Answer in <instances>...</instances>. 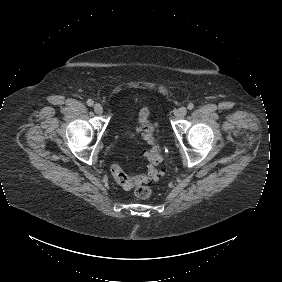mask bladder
Segmentation results:
<instances>
[{"instance_id":"obj_1","label":"bladder","mask_w":282,"mask_h":282,"mask_svg":"<svg viewBox=\"0 0 282 282\" xmlns=\"http://www.w3.org/2000/svg\"><path fill=\"white\" fill-rule=\"evenodd\" d=\"M127 135H131L130 132L128 130H126Z\"/></svg>"}]
</instances>
